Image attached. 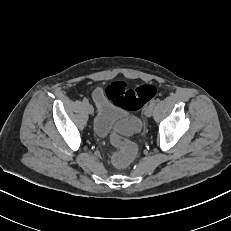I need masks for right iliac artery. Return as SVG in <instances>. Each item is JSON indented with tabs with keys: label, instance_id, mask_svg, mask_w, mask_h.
<instances>
[{
	"label": "right iliac artery",
	"instance_id": "obj_1",
	"mask_svg": "<svg viewBox=\"0 0 231 231\" xmlns=\"http://www.w3.org/2000/svg\"><path fill=\"white\" fill-rule=\"evenodd\" d=\"M83 103L84 104H87L88 103V100L86 98L83 99Z\"/></svg>",
	"mask_w": 231,
	"mask_h": 231
}]
</instances>
